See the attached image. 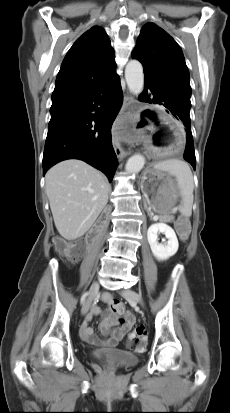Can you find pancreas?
<instances>
[{"label":"pancreas","instance_id":"pancreas-1","mask_svg":"<svg viewBox=\"0 0 230 413\" xmlns=\"http://www.w3.org/2000/svg\"><path fill=\"white\" fill-rule=\"evenodd\" d=\"M162 220H164V221H166V222H171V221L174 220V217H173V216H164V217L162 218Z\"/></svg>","mask_w":230,"mask_h":413}]
</instances>
